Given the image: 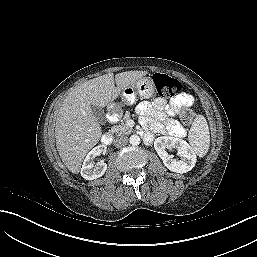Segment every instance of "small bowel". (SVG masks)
Segmentation results:
<instances>
[{"label":"small bowel","instance_id":"c3829d8e","mask_svg":"<svg viewBox=\"0 0 257 257\" xmlns=\"http://www.w3.org/2000/svg\"><path fill=\"white\" fill-rule=\"evenodd\" d=\"M193 103V96L183 93L171 99L169 103H166L162 98H157L152 103L141 102L137 106V111L142 116L144 125L152 131L183 136L185 134L184 128L166 117L173 116L181 107L191 106ZM145 137L149 141L151 133L146 132Z\"/></svg>","mask_w":257,"mask_h":257}]
</instances>
